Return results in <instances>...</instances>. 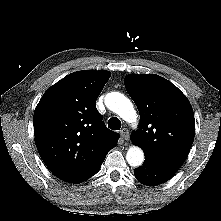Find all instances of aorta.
I'll list each match as a JSON object with an SVG mask.
<instances>
[{"instance_id":"1","label":"aorta","mask_w":221,"mask_h":221,"mask_svg":"<svg viewBox=\"0 0 221 221\" xmlns=\"http://www.w3.org/2000/svg\"><path fill=\"white\" fill-rule=\"evenodd\" d=\"M105 105L128 123L137 121V113L132 102L119 92H110L105 96ZM130 166L139 167L144 161V153L138 146H131L126 154Z\"/></svg>"}]
</instances>
